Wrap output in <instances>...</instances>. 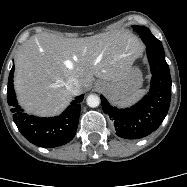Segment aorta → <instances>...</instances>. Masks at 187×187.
Instances as JSON below:
<instances>
[{"instance_id": "obj_1", "label": "aorta", "mask_w": 187, "mask_h": 187, "mask_svg": "<svg viewBox=\"0 0 187 187\" xmlns=\"http://www.w3.org/2000/svg\"><path fill=\"white\" fill-rule=\"evenodd\" d=\"M87 105L91 108H95L100 104V97L95 94H91L86 99Z\"/></svg>"}]
</instances>
